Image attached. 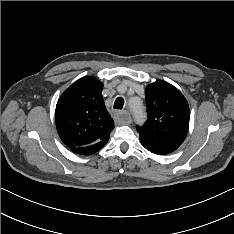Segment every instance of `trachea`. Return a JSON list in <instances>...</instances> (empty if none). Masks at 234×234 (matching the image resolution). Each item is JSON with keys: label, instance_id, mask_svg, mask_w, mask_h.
I'll return each mask as SVG.
<instances>
[{"label": "trachea", "instance_id": "1", "mask_svg": "<svg viewBox=\"0 0 234 234\" xmlns=\"http://www.w3.org/2000/svg\"><path fill=\"white\" fill-rule=\"evenodd\" d=\"M124 106V99L121 97H118L114 102V109H122Z\"/></svg>", "mask_w": 234, "mask_h": 234}]
</instances>
